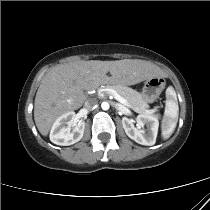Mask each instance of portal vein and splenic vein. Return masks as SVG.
Masks as SVG:
<instances>
[{"instance_id": "portal-vein-and-splenic-vein-1", "label": "portal vein and splenic vein", "mask_w": 210, "mask_h": 210, "mask_svg": "<svg viewBox=\"0 0 210 210\" xmlns=\"http://www.w3.org/2000/svg\"><path fill=\"white\" fill-rule=\"evenodd\" d=\"M104 91L107 94L112 95L114 97V99H116L121 104L128 106L127 101L122 96H120L115 90L108 88V89H105Z\"/></svg>"}]
</instances>
